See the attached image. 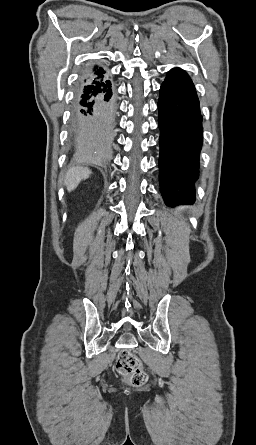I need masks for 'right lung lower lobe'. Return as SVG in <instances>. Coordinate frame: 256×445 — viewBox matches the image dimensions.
Listing matches in <instances>:
<instances>
[{
  "label": "right lung lower lobe",
  "instance_id": "obj_1",
  "mask_svg": "<svg viewBox=\"0 0 256 445\" xmlns=\"http://www.w3.org/2000/svg\"><path fill=\"white\" fill-rule=\"evenodd\" d=\"M114 112L115 99L109 79L78 88L73 126L78 159L97 163L110 159Z\"/></svg>",
  "mask_w": 256,
  "mask_h": 445
}]
</instances>
